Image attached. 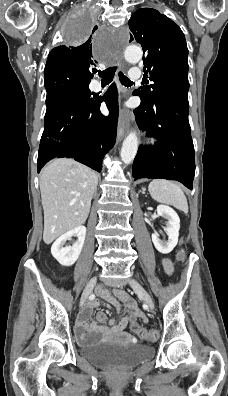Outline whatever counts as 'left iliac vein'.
Masks as SVG:
<instances>
[{"instance_id":"obj_1","label":"left iliac vein","mask_w":228,"mask_h":396,"mask_svg":"<svg viewBox=\"0 0 228 396\" xmlns=\"http://www.w3.org/2000/svg\"><path fill=\"white\" fill-rule=\"evenodd\" d=\"M129 285L143 299V301L147 304L149 309H151V310L155 309V304H154L152 297L139 282H137L134 279H130Z\"/></svg>"}]
</instances>
